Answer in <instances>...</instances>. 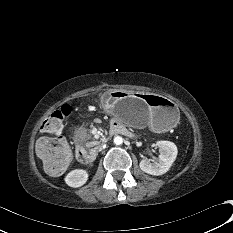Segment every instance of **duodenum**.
Returning a JSON list of instances; mask_svg holds the SVG:
<instances>
[{"label":"duodenum","mask_w":233,"mask_h":233,"mask_svg":"<svg viewBox=\"0 0 233 233\" xmlns=\"http://www.w3.org/2000/svg\"><path fill=\"white\" fill-rule=\"evenodd\" d=\"M114 135H130V132L123 127L122 125L118 123H113L109 130V137H112ZM77 158L81 163H91L96 159L97 151L91 150L86 151L82 147H78L77 150Z\"/></svg>","instance_id":"410a0bca"}]
</instances>
